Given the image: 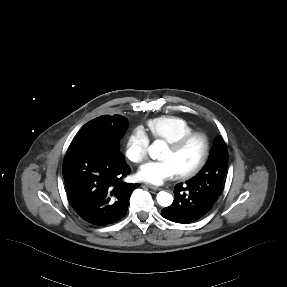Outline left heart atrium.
I'll return each mask as SVG.
<instances>
[{
	"label": "left heart atrium",
	"instance_id": "39dd6f15",
	"mask_svg": "<svg viewBox=\"0 0 287 287\" xmlns=\"http://www.w3.org/2000/svg\"><path fill=\"white\" fill-rule=\"evenodd\" d=\"M177 175L178 172L171 161H149L141 165L136 174L138 180L152 185H161Z\"/></svg>",
	"mask_w": 287,
	"mask_h": 287
}]
</instances>
